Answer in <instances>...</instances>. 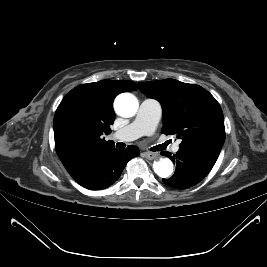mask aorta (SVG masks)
Masks as SVG:
<instances>
[{
    "label": "aorta",
    "mask_w": 267,
    "mask_h": 267,
    "mask_svg": "<svg viewBox=\"0 0 267 267\" xmlns=\"http://www.w3.org/2000/svg\"><path fill=\"white\" fill-rule=\"evenodd\" d=\"M115 111L122 117H132L136 114L139 104L131 93H122L114 101ZM154 172L161 178L169 177L173 172V163L168 158L153 163Z\"/></svg>",
    "instance_id": "762f6f07"
}]
</instances>
